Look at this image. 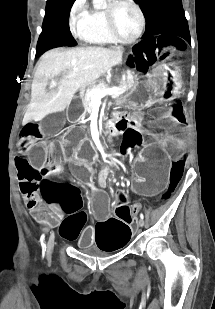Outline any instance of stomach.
<instances>
[{
  "label": "stomach",
  "mask_w": 215,
  "mask_h": 309,
  "mask_svg": "<svg viewBox=\"0 0 215 309\" xmlns=\"http://www.w3.org/2000/svg\"><path fill=\"white\" fill-rule=\"evenodd\" d=\"M177 95L182 87L181 71L172 63L157 64L145 77L137 76L131 88L124 94L130 102H145L151 98H163L168 88Z\"/></svg>",
  "instance_id": "0dacf381"
}]
</instances>
